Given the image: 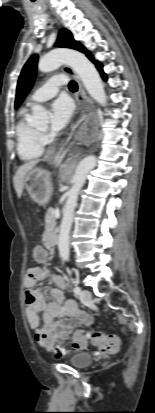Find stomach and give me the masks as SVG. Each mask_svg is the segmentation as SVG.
<instances>
[{
	"instance_id": "obj_1",
	"label": "stomach",
	"mask_w": 155,
	"mask_h": 413,
	"mask_svg": "<svg viewBox=\"0 0 155 413\" xmlns=\"http://www.w3.org/2000/svg\"><path fill=\"white\" fill-rule=\"evenodd\" d=\"M24 188L33 201L46 206L52 194L50 173L41 168H33L25 177Z\"/></svg>"
}]
</instances>
